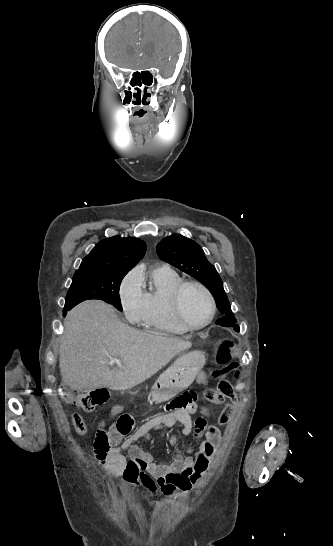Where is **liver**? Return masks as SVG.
<instances>
[{
	"mask_svg": "<svg viewBox=\"0 0 333 546\" xmlns=\"http://www.w3.org/2000/svg\"><path fill=\"white\" fill-rule=\"evenodd\" d=\"M64 327L59 366L63 383L73 390L130 389L192 346L190 341L135 330L99 300L73 308ZM113 357L120 359L121 367L110 369Z\"/></svg>",
	"mask_w": 333,
	"mask_h": 546,
	"instance_id": "6515ba94",
	"label": "liver"
}]
</instances>
